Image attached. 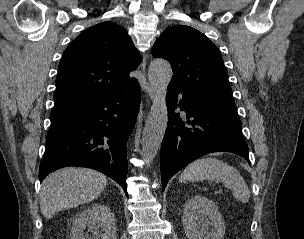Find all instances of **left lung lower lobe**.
<instances>
[{
  "instance_id": "1",
  "label": "left lung lower lobe",
  "mask_w": 304,
  "mask_h": 239,
  "mask_svg": "<svg viewBox=\"0 0 304 239\" xmlns=\"http://www.w3.org/2000/svg\"><path fill=\"white\" fill-rule=\"evenodd\" d=\"M168 86L166 102L168 125L162 141L160 166L162 189L169 179L187 164L206 154L226 151L238 154L248 163V146L242 134V124L236 111L199 102ZM185 111L187 124L174 110ZM190 119V120H189Z\"/></svg>"
}]
</instances>
